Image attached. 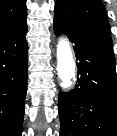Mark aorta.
<instances>
[{
	"instance_id": "762f6f07",
	"label": "aorta",
	"mask_w": 117,
	"mask_h": 136,
	"mask_svg": "<svg viewBox=\"0 0 117 136\" xmlns=\"http://www.w3.org/2000/svg\"><path fill=\"white\" fill-rule=\"evenodd\" d=\"M57 75L63 90H68L75 80V60L73 58L71 43L68 38L61 36L57 43Z\"/></svg>"
}]
</instances>
